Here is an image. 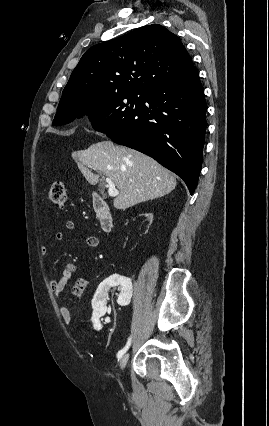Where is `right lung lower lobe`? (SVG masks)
I'll return each mask as SVG.
<instances>
[{"mask_svg":"<svg viewBox=\"0 0 269 426\" xmlns=\"http://www.w3.org/2000/svg\"><path fill=\"white\" fill-rule=\"evenodd\" d=\"M206 110L204 90L193 68L146 92L142 108L107 136L176 173L192 195L202 166Z\"/></svg>","mask_w":269,"mask_h":426,"instance_id":"98d812e1","label":"right lung lower lobe"}]
</instances>
